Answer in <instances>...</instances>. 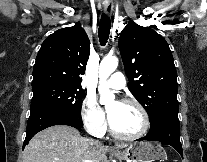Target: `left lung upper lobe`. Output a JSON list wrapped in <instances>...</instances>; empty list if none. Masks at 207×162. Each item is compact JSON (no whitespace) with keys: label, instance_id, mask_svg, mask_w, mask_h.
I'll return each instance as SVG.
<instances>
[{"label":"left lung upper lobe","instance_id":"left-lung-upper-lobe-1","mask_svg":"<svg viewBox=\"0 0 207 162\" xmlns=\"http://www.w3.org/2000/svg\"><path fill=\"white\" fill-rule=\"evenodd\" d=\"M129 89L150 121L165 111H178L177 73L166 40L149 27L129 21L119 37Z\"/></svg>","mask_w":207,"mask_h":162}]
</instances>
